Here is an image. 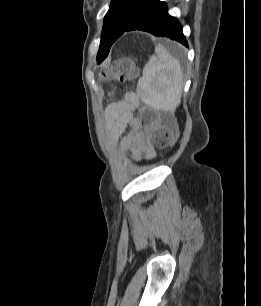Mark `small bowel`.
I'll list each match as a JSON object with an SVG mask.
<instances>
[{
	"label": "small bowel",
	"mask_w": 261,
	"mask_h": 306,
	"mask_svg": "<svg viewBox=\"0 0 261 306\" xmlns=\"http://www.w3.org/2000/svg\"><path fill=\"white\" fill-rule=\"evenodd\" d=\"M139 99L134 93H127L121 102L113 104L108 114L116 121L113 130L112 142L118 141L120 156L131 153L132 160H150L156 155L150 142L149 135L142 130L140 121L135 117L134 111ZM127 130L128 134L121 136Z\"/></svg>",
	"instance_id": "1"
}]
</instances>
